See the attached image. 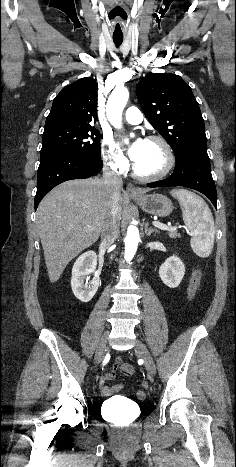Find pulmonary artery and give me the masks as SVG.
I'll use <instances>...</instances> for the list:
<instances>
[{
  "label": "pulmonary artery",
  "mask_w": 236,
  "mask_h": 467,
  "mask_svg": "<svg viewBox=\"0 0 236 467\" xmlns=\"http://www.w3.org/2000/svg\"><path fill=\"white\" fill-rule=\"evenodd\" d=\"M124 117L125 120L130 124H139L143 120L141 111L134 106L127 108Z\"/></svg>",
  "instance_id": "obj_1"
}]
</instances>
